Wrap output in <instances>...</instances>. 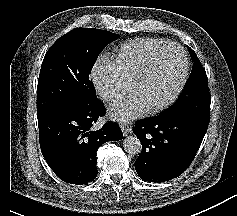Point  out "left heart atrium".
<instances>
[{
  "mask_svg": "<svg viewBox=\"0 0 237 216\" xmlns=\"http://www.w3.org/2000/svg\"><path fill=\"white\" fill-rule=\"evenodd\" d=\"M142 114V105L133 98L120 100L112 107V118L116 121L131 122Z\"/></svg>",
  "mask_w": 237,
  "mask_h": 216,
  "instance_id": "left-heart-atrium-1",
  "label": "left heart atrium"
}]
</instances>
